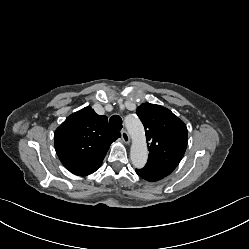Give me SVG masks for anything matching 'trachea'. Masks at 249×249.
<instances>
[{"label": "trachea", "mask_w": 249, "mask_h": 249, "mask_svg": "<svg viewBox=\"0 0 249 249\" xmlns=\"http://www.w3.org/2000/svg\"><path fill=\"white\" fill-rule=\"evenodd\" d=\"M110 125L117 129V130H121L122 129V119L120 116L118 115H113L111 116L110 120H109Z\"/></svg>", "instance_id": "3493384b"}]
</instances>
